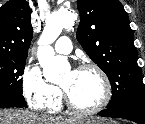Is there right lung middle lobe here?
I'll return each instance as SVG.
<instances>
[{
  "label": "right lung middle lobe",
  "instance_id": "1",
  "mask_svg": "<svg viewBox=\"0 0 145 124\" xmlns=\"http://www.w3.org/2000/svg\"><path fill=\"white\" fill-rule=\"evenodd\" d=\"M26 58L0 56V94H22V79Z\"/></svg>",
  "mask_w": 145,
  "mask_h": 124
}]
</instances>
